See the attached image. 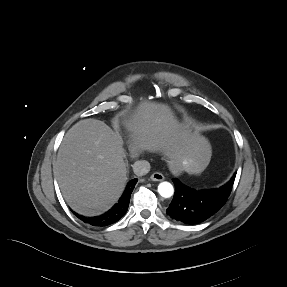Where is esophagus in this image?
I'll return each instance as SVG.
<instances>
[{
    "instance_id": "obj_1",
    "label": "esophagus",
    "mask_w": 287,
    "mask_h": 287,
    "mask_svg": "<svg viewBox=\"0 0 287 287\" xmlns=\"http://www.w3.org/2000/svg\"><path fill=\"white\" fill-rule=\"evenodd\" d=\"M150 178H151L152 181H162V180H164L163 174L159 173V172L153 173Z\"/></svg>"
}]
</instances>
